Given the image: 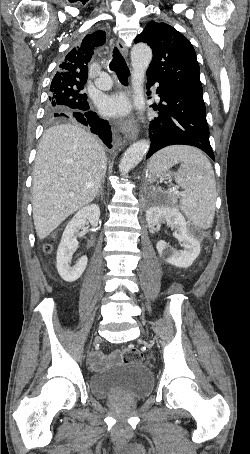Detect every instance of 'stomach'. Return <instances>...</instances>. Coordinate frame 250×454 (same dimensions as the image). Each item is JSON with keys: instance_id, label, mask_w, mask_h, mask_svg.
I'll return each mask as SVG.
<instances>
[{"instance_id": "1", "label": "stomach", "mask_w": 250, "mask_h": 454, "mask_svg": "<svg viewBox=\"0 0 250 454\" xmlns=\"http://www.w3.org/2000/svg\"><path fill=\"white\" fill-rule=\"evenodd\" d=\"M153 177H154V176H153ZM159 177H170V174L164 173V174L159 175Z\"/></svg>"}]
</instances>
